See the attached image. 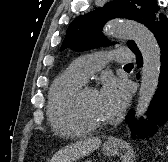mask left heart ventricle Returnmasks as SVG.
<instances>
[{
	"mask_svg": "<svg viewBox=\"0 0 168 162\" xmlns=\"http://www.w3.org/2000/svg\"><path fill=\"white\" fill-rule=\"evenodd\" d=\"M83 108L86 116L95 122H105L99 102L98 96L96 91H88L86 92L84 99H83Z\"/></svg>",
	"mask_w": 168,
	"mask_h": 162,
	"instance_id": "left-heart-ventricle-1",
	"label": "left heart ventricle"
}]
</instances>
